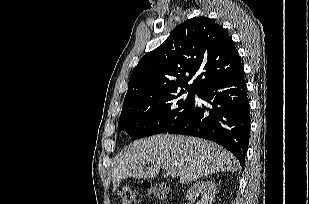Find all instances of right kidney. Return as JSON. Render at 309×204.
I'll return each mask as SVG.
<instances>
[{"instance_id":"ca27d5eb","label":"right kidney","mask_w":309,"mask_h":204,"mask_svg":"<svg viewBox=\"0 0 309 204\" xmlns=\"http://www.w3.org/2000/svg\"><path fill=\"white\" fill-rule=\"evenodd\" d=\"M215 193V183L201 180L196 182L189 188L185 199L188 201H193L195 200L197 195L202 194V198L197 204H212L215 198Z\"/></svg>"}]
</instances>
